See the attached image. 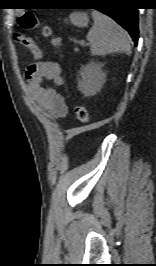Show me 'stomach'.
<instances>
[{"mask_svg":"<svg viewBox=\"0 0 156 266\" xmlns=\"http://www.w3.org/2000/svg\"><path fill=\"white\" fill-rule=\"evenodd\" d=\"M70 22L78 27H85L88 24V15L84 12H73L69 16Z\"/></svg>","mask_w":156,"mask_h":266,"instance_id":"obj_1","label":"stomach"}]
</instances>
